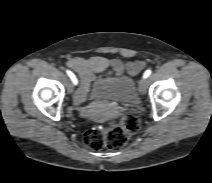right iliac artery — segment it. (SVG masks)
I'll list each match as a JSON object with an SVG mask.
<instances>
[{
    "instance_id": "obj_1",
    "label": "right iliac artery",
    "mask_w": 212,
    "mask_h": 183,
    "mask_svg": "<svg viewBox=\"0 0 212 183\" xmlns=\"http://www.w3.org/2000/svg\"><path fill=\"white\" fill-rule=\"evenodd\" d=\"M66 72H67L68 76L70 77V79L72 80V82L75 85H77L78 80H77L76 76L71 71H69V70H66Z\"/></svg>"
}]
</instances>
